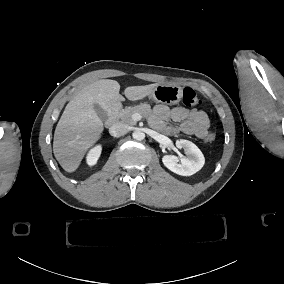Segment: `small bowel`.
Wrapping results in <instances>:
<instances>
[{"mask_svg": "<svg viewBox=\"0 0 284 284\" xmlns=\"http://www.w3.org/2000/svg\"><path fill=\"white\" fill-rule=\"evenodd\" d=\"M152 123L168 134L182 133L199 139L206 138L210 127L209 118L204 111L183 107L169 108L161 104L154 108Z\"/></svg>", "mask_w": 284, "mask_h": 284, "instance_id": "c3829d8e", "label": "small bowel"}]
</instances>
